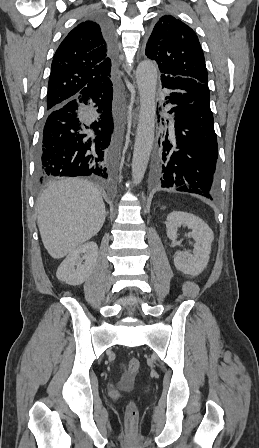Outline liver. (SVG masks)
Instances as JSON below:
<instances>
[{
    "instance_id": "6515ba94",
    "label": "liver",
    "mask_w": 259,
    "mask_h": 448,
    "mask_svg": "<svg viewBox=\"0 0 259 448\" xmlns=\"http://www.w3.org/2000/svg\"><path fill=\"white\" fill-rule=\"evenodd\" d=\"M37 212L42 242L57 260L97 236L106 218L99 190L80 178H63L48 186L37 200Z\"/></svg>"
}]
</instances>
